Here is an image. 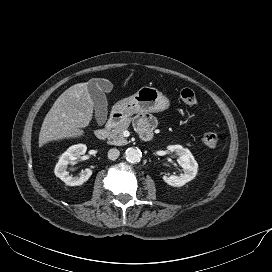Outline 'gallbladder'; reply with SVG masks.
<instances>
[{
	"label": "gallbladder",
	"instance_id": "1",
	"mask_svg": "<svg viewBox=\"0 0 272 272\" xmlns=\"http://www.w3.org/2000/svg\"><path fill=\"white\" fill-rule=\"evenodd\" d=\"M111 85L106 80L92 79L88 82V91L95 108V118L99 125L107 120L108 102L103 90H109Z\"/></svg>",
	"mask_w": 272,
	"mask_h": 272
}]
</instances>
